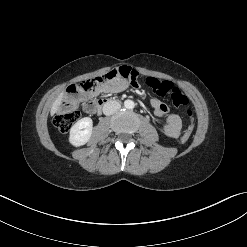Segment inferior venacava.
<instances>
[{
	"instance_id": "1",
	"label": "inferior vena cava",
	"mask_w": 247,
	"mask_h": 247,
	"mask_svg": "<svg viewBox=\"0 0 247 247\" xmlns=\"http://www.w3.org/2000/svg\"><path fill=\"white\" fill-rule=\"evenodd\" d=\"M121 108V105L117 101H108L103 106V113L105 115H112Z\"/></svg>"
}]
</instances>
